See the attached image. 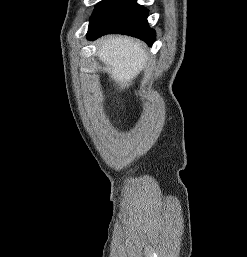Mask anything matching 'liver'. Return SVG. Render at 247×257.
I'll use <instances>...</instances> for the list:
<instances>
[{"instance_id":"obj_1","label":"liver","mask_w":247,"mask_h":257,"mask_svg":"<svg viewBox=\"0 0 247 257\" xmlns=\"http://www.w3.org/2000/svg\"><path fill=\"white\" fill-rule=\"evenodd\" d=\"M99 59L112 68L110 78L125 89L144 68L147 53L140 41L124 36H110L100 41Z\"/></svg>"}]
</instances>
